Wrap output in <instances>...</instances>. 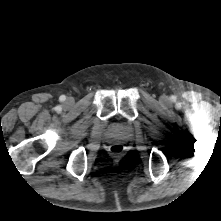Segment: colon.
Masks as SVG:
<instances>
[{
	"label": "colon",
	"instance_id": "1",
	"mask_svg": "<svg viewBox=\"0 0 221 221\" xmlns=\"http://www.w3.org/2000/svg\"><path fill=\"white\" fill-rule=\"evenodd\" d=\"M124 150V147L123 145L117 143V144H113L111 147H110V152L112 154H115V155H118V154H121Z\"/></svg>",
	"mask_w": 221,
	"mask_h": 221
}]
</instances>
